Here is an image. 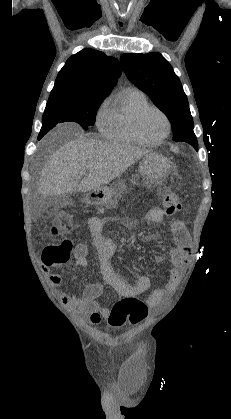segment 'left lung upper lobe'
Returning a JSON list of instances; mask_svg holds the SVG:
<instances>
[{
  "label": "left lung upper lobe",
  "instance_id": "obj_1",
  "mask_svg": "<svg viewBox=\"0 0 231 419\" xmlns=\"http://www.w3.org/2000/svg\"><path fill=\"white\" fill-rule=\"evenodd\" d=\"M121 64L127 78L166 114L174 133L172 139L187 142L197 149L187 96L170 63L160 53L151 52L125 53Z\"/></svg>",
  "mask_w": 231,
  "mask_h": 419
}]
</instances>
